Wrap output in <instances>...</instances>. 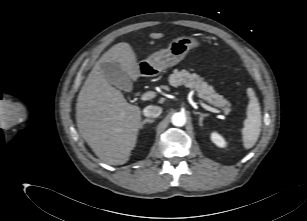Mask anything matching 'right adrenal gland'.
Listing matches in <instances>:
<instances>
[{"label":"right adrenal gland","instance_id":"2a0ac1e0","mask_svg":"<svg viewBox=\"0 0 307 221\" xmlns=\"http://www.w3.org/2000/svg\"><path fill=\"white\" fill-rule=\"evenodd\" d=\"M154 122V119H145L141 122L140 124V128L142 129L143 128V125L146 124V123H153Z\"/></svg>","mask_w":307,"mask_h":221}]
</instances>
